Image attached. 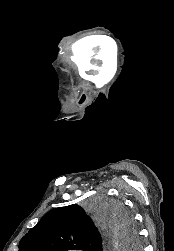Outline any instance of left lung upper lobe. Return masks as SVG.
Here are the masks:
<instances>
[{
    "label": "left lung upper lobe",
    "instance_id": "obj_1",
    "mask_svg": "<svg viewBox=\"0 0 174 251\" xmlns=\"http://www.w3.org/2000/svg\"><path fill=\"white\" fill-rule=\"evenodd\" d=\"M97 216L112 227L120 242L137 243L132 217L121 204L104 203ZM102 251L103 238L84 209L77 204L53 209L21 239L19 251Z\"/></svg>",
    "mask_w": 174,
    "mask_h": 251
}]
</instances>
